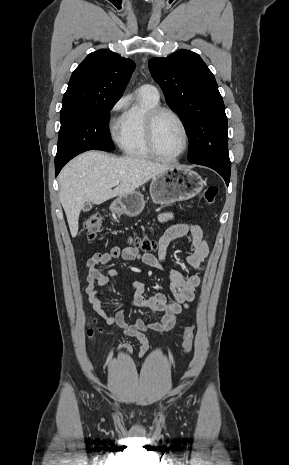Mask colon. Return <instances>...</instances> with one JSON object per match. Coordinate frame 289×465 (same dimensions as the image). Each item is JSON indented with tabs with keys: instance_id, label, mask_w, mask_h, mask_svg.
I'll list each match as a JSON object with an SVG mask.
<instances>
[{
	"instance_id": "1",
	"label": "colon",
	"mask_w": 289,
	"mask_h": 465,
	"mask_svg": "<svg viewBox=\"0 0 289 465\" xmlns=\"http://www.w3.org/2000/svg\"><path fill=\"white\" fill-rule=\"evenodd\" d=\"M218 194V188L214 185L208 186L201 194L203 201L206 205L214 203ZM103 217L99 213L91 214L84 222V230L87 232V236L90 240H94L96 235L102 230ZM133 243L136 247L140 248L145 252H149L155 249L156 243L154 240L147 236H138L133 239ZM195 327L193 325L186 327L183 335V349L186 353L192 349V341ZM97 330L89 328V336H93Z\"/></svg>"
}]
</instances>
